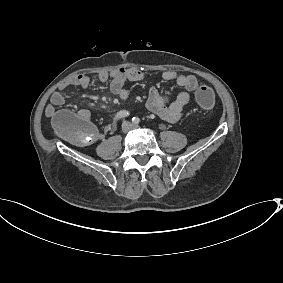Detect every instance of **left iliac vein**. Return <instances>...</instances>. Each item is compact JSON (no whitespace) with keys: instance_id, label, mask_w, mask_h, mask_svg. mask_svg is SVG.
Masks as SVG:
<instances>
[{"instance_id":"4c4485c4","label":"left iliac vein","mask_w":283,"mask_h":283,"mask_svg":"<svg viewBox=\"0 0 283 283\" xmlns=\"http://www.w3.org/2000/svg\"><path fill=\"white\" fill-rule=\"evenodd\" d=\"M132 128H138V126L137 125H133Z\"/></svg>"}]
</instances>
